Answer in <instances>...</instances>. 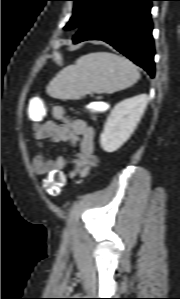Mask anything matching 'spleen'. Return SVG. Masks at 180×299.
I'll return each instance as SVG.
<instances>
[{
	"mask_svg": "<svg viewBox=\"0 0 180 299\" xmlns=\"http://www.w3.org/2000/svg\"><path fill=\"white\" fill-rule=\"evenodd\" d=\"M140 73L131 61L110 52H95L63 68L50 82L47 93L56 99H81L90 92L114 93L132 86Z\"/></svg>",
	"mask_w": 180,
	"mask_h": 299,
	"instance_id": "obj_1",
	"label": "spleen"
}]
</instances>
